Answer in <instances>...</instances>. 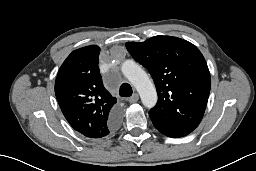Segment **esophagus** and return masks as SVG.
Listing matches in <instances>:
<instances>
[{
    "mask_svg": "<svg viewBox=\"0 0 256 171\" xmlns=\"http://www.w3.org/2000/svg\"><path fill=\"white\" fill-rule=\"evenodd\" d=\"M139 100V96L137 93H134L129 99H128V102L130 103H135Z\"/></svg>",
    "mask_w": 256,
    "mask_h": 171,
    "instance_id": "1",
    "label": "esophagus"
}]
</instances>
